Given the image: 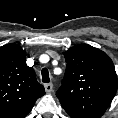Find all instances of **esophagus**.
<instances>
[{"mask_svg": "<svg viewBox=\"0 0 118 118\" xmlns=\"http://www.w3.org/2000/svg\"><path fill=\"white\" fill-rule=\"evenodd\" d=\"M44 87H45V91L47 93H50L52 91L53 85H52V83H47L44 85Z\"/></svg>", "mask_w": 118, "mask_h": 118, "instance_id": "obj_1", "label": "esophagus"}]
</instances>
